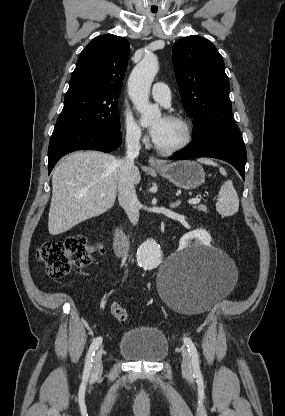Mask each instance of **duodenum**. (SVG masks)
<instances>
[{
    "mask_svg": "<svg viewBox=\"0 0 285 416\" xmlns=\"http://www.w3.org/2000/svg\"><path fill=\"white\" fill-rule=\"evenodd\" d=\"M113 246L116 255L126 262L130 256L131 245L127 235L119 228H115L113 231Z\"/></svg>",
    "mask_w": 285,
    "mask_h": 416,
    "instance_id": "410a0bca",
    "label": "duodenum"
}]
</instances>
